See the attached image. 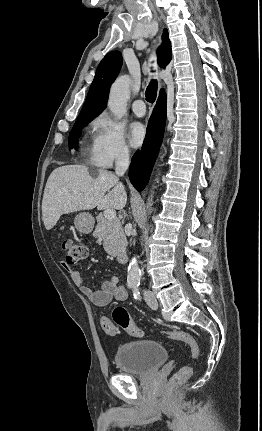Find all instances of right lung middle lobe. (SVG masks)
<instances>
[{
  "label": "right lung middle lobe",
  "mask_w": 262,
  "mask_h": 431,
  "mask_svg": "<svg viewBox=\"0 0 262 431\" xmlns=\"http://www.w3.org/2000/svg\"><path fill=\"white\" fill-rule=\"evenodd\" d=\"M92 120L93 118H77L69 135V148L78 147V137L81 133L82 128H84Z\"/></svg>",
  "instance_id": "dd1d6c3e"
}]
</instances>
